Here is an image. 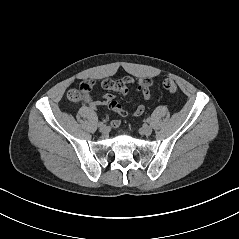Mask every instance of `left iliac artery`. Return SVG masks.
Wrapping results in <instances>:
<instances>
[{
  "label": "left iliac artery",
  "mask_w": 239,
  "mask_h": 239,
  "mask_svg": "<svg viewBox=\"0 0 239 239\" xmlns=\"http://www.w3.org/2000/svg\"><path fill=\"white\" fill-rule=\"evenodd\" d=\"M148 123H150L151 122V119L150 118H147V120H146Z\"/></svg>",
  "instance_id": "44dca946"
}]
</instances>
